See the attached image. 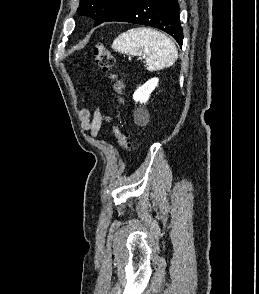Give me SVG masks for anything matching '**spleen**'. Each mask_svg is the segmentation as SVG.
I'll list each match as a JSON object with an SVG mask.
<instances>
[{"label": "spleen", "instance_id": "3e777b00", "mask_svg": "<svg viewBox=\"0 0 259 294\" xmlns=\"http://www.w3.org/2000/svg\"><path fill=\"white\" fill-rule=\"evenodd\" d=\"M112 49L128 55L144 56L147 70L157 71L172 66L178 59L174 42L154 29L140 27L120 34Z\"/></svg>", "mask_w": 259, "mask_h": 294}]
</instances>
